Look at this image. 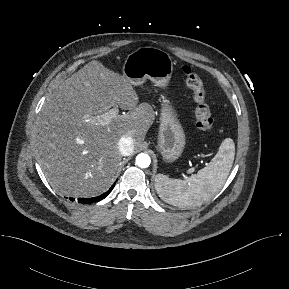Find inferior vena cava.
I'll use <instances>...</instances> for the list:
<instances>
[{"instance_id":"602c4592","label":"inferior vena cava","mask_w":289,"mask_h":289,"mask_svg":"<svg viewBox=\"0 0 289 289\" xmlns=\"http://www.w3.org/2000/svg\"><path fill=\"white\" fill-rule=\"evenodd\" d=\"M119 152L122 156H129L133 153L134 144L130 136H123L118 142Z\"/></svg>"}]
</instances>
